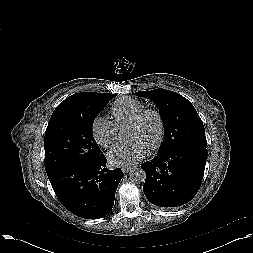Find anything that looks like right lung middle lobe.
Here are the masks:
<instances>
[{"label":"right lung middle lobe","instance_id":"right-lung-middle-lobe-1","mask_svg":"<svg viewBox=\"0 0 253 253\" xmlns=\"http://www.w3.org/2000/svg\"><path fill=\"white\" fill-rule=\"evenodd\" d=\"M116 94H103L81 108L54 111L44 138L47 173L79 163H91L104 154L93 138L96 116Z\"/></svg>","mask_w":253,"mask_h":253}]
</instances>
